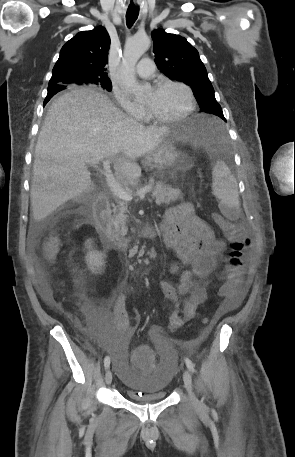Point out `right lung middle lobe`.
I'll use <instances>...</instances> for the list:
<instances>
[{
	"instance_id": "obj_1",
	"label": "right lung middle lobe",
	"mask_w": 295,
	"mask_h": 457,
	"mask_svg": "<svg viewBox=\"0 0 295 457\" xmlns=\"http://www.w3.org/2000/svg\"><path fill=\"white\" fill-rule=\"evenodd\" d=\"M88 84H92V85H99L101 86L102 88L108 90V91H111L112 90V83L110 80H99V79H94V80H91L90 83ZM65 89V88H64Z\"/></svg>"
}]
</instances>
